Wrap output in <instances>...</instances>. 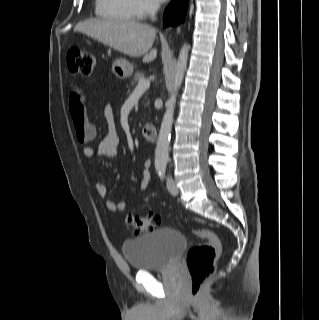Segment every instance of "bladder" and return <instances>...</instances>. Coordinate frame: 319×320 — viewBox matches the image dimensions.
Returning <instances> with one entry per match:
<instances>
[{
    "mask_svg": "<svg viewBox=\"0 0 319 320\" xmlns=\"http://www.w3.org/2000/svg\"><path fill=\"white\" fill-rule=\"evenodd\" d=\"M187 247L184 233L163 227L125 240L122 251L133 270L151 272L170 268Z\"/></svg>",
    "mask_w": 319,
    "mask_h": 320,
    "instance_id": "bladder-1",
    "label": "bladder"
}]
</instances>
